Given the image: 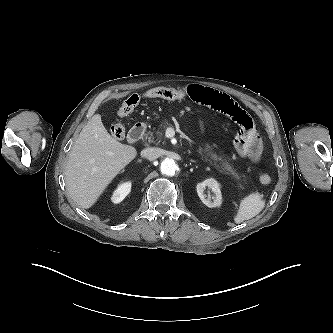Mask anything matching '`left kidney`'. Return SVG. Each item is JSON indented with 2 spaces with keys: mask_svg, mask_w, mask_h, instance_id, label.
<instances>
[{
  "mask_svg": "<svg viewBox=\"0 0 333 333\" xmlns=\"http://www.w3.org/2000/svg\"><path fill=\"white\" fill-rule=\"evenodd\" d=\"M219 186V183L213 178L206 179L203 182L197 184L196 189L198 196L206 206L213 208L222 204V195ZM206 187H208L213 192V196L210 194L206 196L204 193Z\"/></svg>",
  "mask_w": 333,
  "mask_h": 333,
  "instance_id": "5707ae66",
  "label": "left kidney"
}]
</instances>
